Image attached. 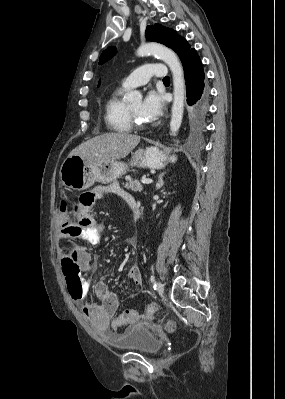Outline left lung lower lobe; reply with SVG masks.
<instances>
[{
    "instance_id": "1",
    "label": "left lung lower lobe",
    "mask_w": 285,
    "mask_h": 399,
    "mask_svg": "<svg viewBox=\"0 0 285 399\" xmlns=\"http://www.w3.org/2000/svg\"><path fill=\"white\" fill-rule=\"evenodd\" d=\"M186 80L187 103L196 118L202 119L207 109L208 93L204 89V70L196 50L191 48L181 56Z\"/></svg>"
}]
</instances>
